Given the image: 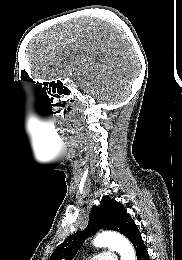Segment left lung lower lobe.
<instances>
[{
    "label": "left lung lower lobe",
    "instance_id": "obj_1",
    "mask_svg": "<svg viewBox=\"0 0 182 260\" xmlns=\"http://www.w3.org/2000/svg\"><path fill=\"white\" fill-rule=\"evenodd\" d=\"M127 238L133 244L138 260H149V255L144 245V241L141 238V234L137 226H135L132 231L129 233Z\"/></svg>",
    "mask_w": 182,
    "mask_h": 260
}]
</instances>
